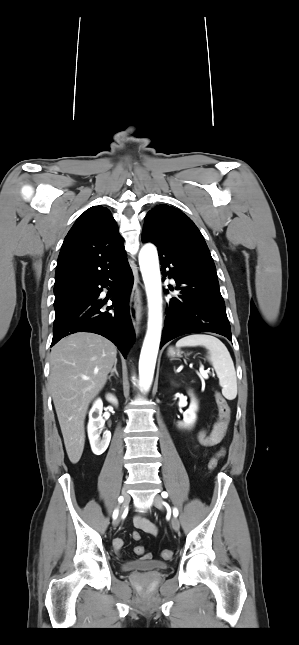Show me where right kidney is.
Instances as JSON below:
<instances>
[{
    "label": "right kidney",
    "instance_id": "ca27d5eb",
    "mask_svg": "<svg viewBox=\"0 0 299 645\" xmlns=\"http://www.w3.org/2000/svg\"><path fill=\"white\" fill-rule=\"evenodd\" d=\"M106 399L114 405L118 404L117 399L113 395L108 394ZM102 410L103 402L101 399H97L89 412L87 430L91 449L95 455L104 453L111 439V433L107 430L103 432V436L100 438L105 423L101 416Z\"/></svg>",
    "mask_w": 299,
    "mask_h": 645
}]
</instances>
